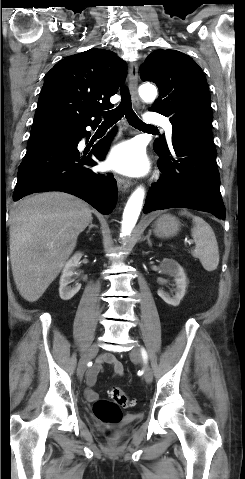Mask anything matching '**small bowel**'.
Wrapping results in <instances>:
<instances>
[{
	"mask_svg": "<svg viewBox=\"0 0 245 479\" xmlns=\"http://www.w3.org/2000/svg\"><path fill=\"white\" fill-rule=\"evenodd\" d=\"M103 364L111 365L115 376H122L124 373L123 365L117 361L112 354H103L99 361L90 368L87 376V388L85 394L91 401L97 399V394L92 390V386L95 384L97 376L102 371Z\"/></svg>",
	"mask_w": 245,
	"mask_h": 479,
	"instance_id": "small-bowel-1",
	"label": "small bowel"
}]
</instances>
